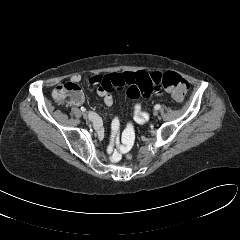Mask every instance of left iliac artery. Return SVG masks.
I'll list each match as a JSON object with an SVG mask.
<instances>
[{
	"label": "left iliac artery",
	"instance_id": "1",
	"mask_svg": "<svg viewBox=\"0 0 240 240\" xmlns=\"http://www.w3.org/2000/svg\"><path fill=\"white\" fill-rule=\"evenodd\" d=\"M154 108H155L156 110H159V109L161 108V106H160L159 104H156V105L154 106Z\"/></svg>",
	"mask_w": 240,
	"mask_h": 240
}]
</instances>
